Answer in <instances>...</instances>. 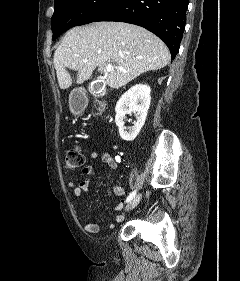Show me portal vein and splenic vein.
Listing matches in <instances>:
<instances>
[{"label":"portal vein and splenic vein","mask_w":240,"mask_h":281,"mask_svg":"<svg viewBox=\"0 0 240 281\" xmlns=\"http://www.w3.org/2000/svg\"><path fill=\"white\" fill-rule=\"evenodd\" d=\"M84 62H87V60H84ZM114 68H115V69H118V70H122L121 67H113L111 64H108V65L105 67V71H106V72H110V71H112Z\"/></svg>","instance_id":"obj_1"}]
</instances>
